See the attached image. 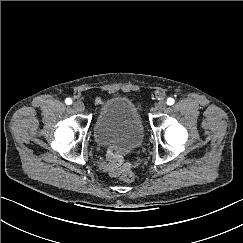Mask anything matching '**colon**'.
<instances>
[{"label":"colon","instance_id":"obj_1","mask_svg":"<svg viewBox=\"0 0 243 243\" xmlns=\"http://www.w3.org/2000/svg\"><path fill=\"white\" fill-rule=\"evenodd\" d=\"M134 178H135L134 173L129 169L124 170L120 175V179L126 183L132 182Z\"/></svg>","mask_w":243,"mask_h":243}]
</instances>
